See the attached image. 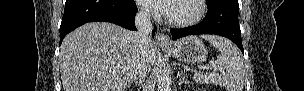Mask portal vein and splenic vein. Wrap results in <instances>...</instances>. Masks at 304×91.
Here are the masks:
<instances>
[{
	"instance_id": "obj_1",
	"label": "portal vein and splenic vein",
	"mask_w": 304,
	"mask_h": 91,
	"mask_svg": "<svg viewBox=\"0 0 304 91\" xmlns=\"http://www.w3.org/2000/svg\"><path fill=\"white\" fill-rule=\"evenodd\" d=\"M212 67H213L214 69L219 68V66H218L217 64H215V63L212 64Z\"/></svg>"
}]
</instances>
